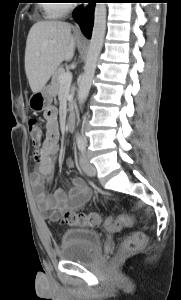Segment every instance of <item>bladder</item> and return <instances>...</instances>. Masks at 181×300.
<instances>
[{
  "label": "bladder",
  "instance_id": "31cf9c89",
  "mask_svg": "<svg viewBox=\"0 0 181 300\" xmlns=\"http://www.w3.org/2000/svg\"><path fill=\"white\" fill-rule=\"evenodd\" d=\"M102 235L89 228H71L60 242V256L64 261H87L100 249Z\"/></svg>",
  "mask_w": 181,
  "mask_h": 300
}]
</instances>
